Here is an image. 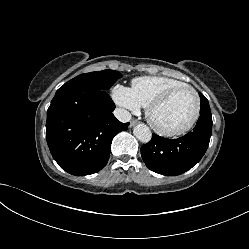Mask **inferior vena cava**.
Masks as SVG:
<instances>
[{"mask_svg":"<svg viewBox=\"0 0 249 249\" xmlns=\"http://www.w3.org/2000/svg\"><path fill=\"white\" fill-rule=\"evenodd\" d=\"M113 113L115 117L123 123L128 122L131 119V114L123 108H116Z\"/></svg>","mask_w":249,"mask_h":249,"instance_id":"1","label":"inferior vena cava"}]
</instances>
